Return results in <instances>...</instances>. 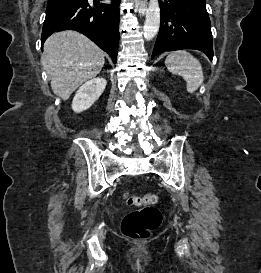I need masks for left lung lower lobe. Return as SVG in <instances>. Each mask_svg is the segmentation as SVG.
Returning <instances> with one entry per match:
<instances>
[{
	"instance_id": "1",
	"label": "left lung lower lobe",
	"mask_w": 261,
	"mask_h": 273,
	"mask_svg": "<svg viewBox=\"0 0 261 273\" xmlns=\"http://www.w3.org/2000/svg\"><path fill=\"white\" fill-rule=\"evenodd\" d=\"M161 23L152 58L164 51L196 49L212 60V33L205 0L160 2Z\"/></svg>"
}]
</instances>
